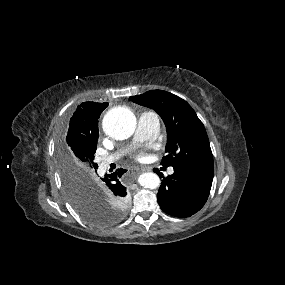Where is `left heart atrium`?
Returning <instances> with one entry per match:
<instances>
[{"instance_id":"left-heart-atrium-1","label":"left heart atrium","mask_w":285,"mask_h":285,"mask_svg":"<svg viewBox=\"0 0 285 285\" xmlns=\"http://www.w3.org/2000/svg\"><path fill=\"white\" fill-rule=\"evenodd\" d=\"M142 157V154L137 155V159H141Z\"/></svg>"}]
</instances>
